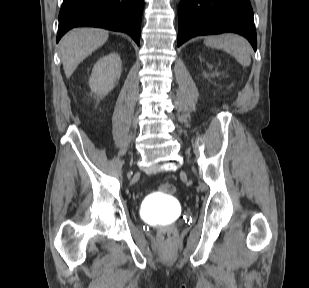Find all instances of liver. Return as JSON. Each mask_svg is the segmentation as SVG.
I'll use <instances>...</instances> for the list:
<instances>
[{
	"label": "liver",
	"mask_w": 309,
	"mask_h": 288,
	"mask_svg": "<svg viewBox=\"0 0 309 288\" xmlns=\"http://www.w3.org/2000/svg\"><path fill=\"white\" fill-rule=\"evenodd\" d=\"M108 37V31L98 28H77L69 31L60 41L66 77L70 78L77 66L104 45Z\"/></svg>",
	"instance_id": "obj_1"
}]
</instances>
